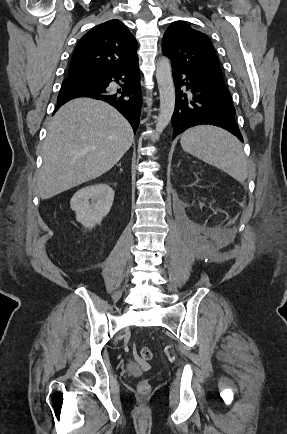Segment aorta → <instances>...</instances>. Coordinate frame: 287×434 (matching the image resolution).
Listing matches in <instances>:
<instances>
[{"mask_svg":"<svg viewBox=\"0 0 287 434\" xmlns=\"http://www.w3.org/2000/svg\"><path fill=\"white\" fill-rule=\"evenodd\" d=\"M156 79L160 93V109L156 122V134H161L169 124L175 108V87L172 79L171 63L163 57L156 65Z\"/></svg>","mask_w":287,"mask_h":434,"instance_id":"1","label":"aorta"}]
</instances>
